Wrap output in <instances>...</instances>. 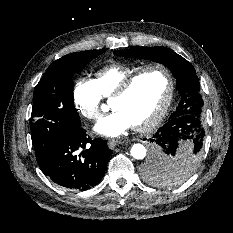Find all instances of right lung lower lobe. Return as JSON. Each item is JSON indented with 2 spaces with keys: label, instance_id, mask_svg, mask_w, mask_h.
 <instances>
[{
  "label": "right lung lower lobe",
  "instance_id": "1",
  "mask_svg": "<svg viewBox=\"0 0 233 233\" xmlns=\"http://www.w3.org/2000/svg\"><path fill=\"white\" fill-rule=\"evenodd\" d=\"M110 154L106 141L98 138L92 140L79 127L61 137L40 168L60 186L87 190L100 182Z\"/></svg>",
  "mask_w": 233,
  "mask_h": 233
}]
</instances>
